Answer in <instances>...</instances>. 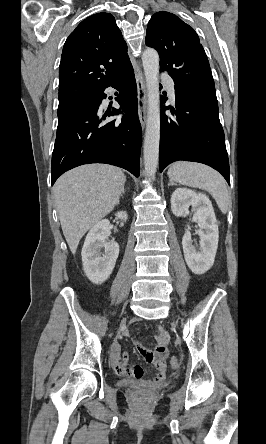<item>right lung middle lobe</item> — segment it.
I'll list each match as a JSON object with an SVG mask.
<instances>
[{
    "label": "right lung middle lobe",
    "instance_id": "obj_1",
    "mask_svg": "<svg viewBox=\"0 0 266 444\" xmlns=\"http://www.w3.org/2000/svg\"><path fill=\"white\" fill-rule=\"evenodd\" d=\"M96 93L76 94L59 98L58 121L63 120L73 112L85 107L95 97Z\"/></svg>",
    "mask_w": 266,
    "mask_h": 444
}]
</instances>
